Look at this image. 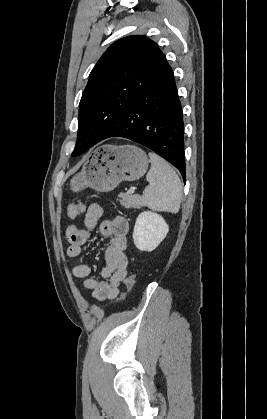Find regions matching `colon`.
<instances>
[{"label":"colon","mask_w":267,"mask_h":419,"mask_svg":"<svg viewBox=\"0 0 267 419\" xmlns=\"http://www.w3.org/2000/svg\"><path fill=\"white\" fill-rule=\"evenodd\" d=\"M83 210H84V205L81 202H78L76 204H71L67 208V216L70 218H74L78 216ZM134 284H135V276L132 274L125 280L126 291L122 294L119 300L120 302L126 298L127 294L132 290Z\"/></svg>","instance_id":"5ec220e1"}]
</instances>
